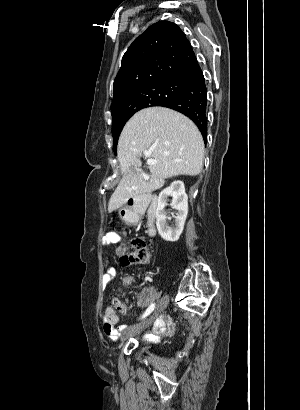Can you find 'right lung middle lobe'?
I'll use <instances>...</instances> for the list:
<instances>
[{
	"mask_svg": "<svg viewBox=\"0 0 300 410\" xmlns=\"http://www.w3.org/2000/svg\"><path fill=\"white\" fill-rule=\"evenodd\" d=\"M184 86L183 83H165L139 88L122 100L116 116L112 115L113 150L116 152L119 135L129 118L137 111L161 106L171 100Z\"/></svg>",
	"mask_w": 300,
	"mask_h": 410,
	"instance_id": "dd1d6c3e",
	"label": "right lung middle lobe"
}]
</instances>
